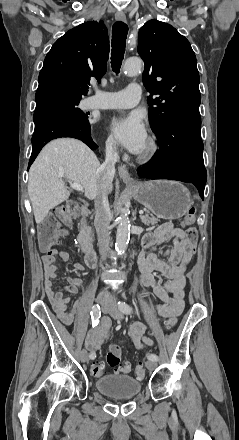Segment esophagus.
<instances>
[{
  "label": "esophagus",
  "mask_w": 239,
  "mask_h": 440,
  "mask_svg": "<svg viewBox=\"0 0 239 440\" xmlns=\"http://www.w3.org/2000/svg\"><path fill=\"white\" fill-rule=\"evenodd\" d=\"M115 19L117 21H122V22H126V16L124 12H117L115 14ZM118 173L120 175V178H122V180L125 183H130V184H137L136 180H134L133 178L130 177V174L127 170V168L124 165H119L118 166Z\"/></svg>",
  "instance_id": "1"
}]
</instances>
